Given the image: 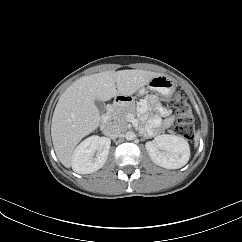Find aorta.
Returning a JSON list of instances; mask_svg holds the SVG:
<instances>
[{
	"label": "aorta",
	"instance_id": "1",
	"mask_svg": "<svg viewBox=\"0 0 242 242\" xmlns=\"http://www.w3.org/2000/svg\"><path fill=\"white\" fill-rule=\"evenodd\" d=\"M125 138H126V140H128V141L133 140V139L135 138V134H134V132H132V131H128V132H126V133H125Z\"/></svg>",
	"mask_w": 242,
	"mask_h": 242
}]
</instances>
